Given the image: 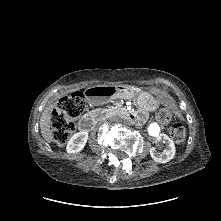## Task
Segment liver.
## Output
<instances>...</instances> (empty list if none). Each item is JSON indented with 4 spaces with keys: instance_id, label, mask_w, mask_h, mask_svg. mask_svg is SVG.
Returning a JSON list of instances; mask_svg holds the SVG:
<instances>
[{
    "instance_id": "obj_1",
    "label": "liver",
    "mask_w": 221,
    "mask_h": 221,
    "mask_svg": "<svg viewBox=\"0 0 221 221\" xmlns=\"http://www.w3.org/2000/svg\"><path fill=\"white\" fill-rule=\"evenodd\" d=\"M54 104L48 105L45 110L42 112L40 118V130L41 134L45 141L48 143L53 142L54 137L51 131V118H52V111L54 109Z\"/></svg>"
}]
</instances>
